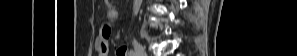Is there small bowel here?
Listing matches in <instances>:
<instances>
[{"label": "small bowel", "mask_w": 297, "mask_h": 56, "mask_svg": "<svg viewBox=\"0 0 297 56\" xmlns=\"http://www.w3.org/2000/svg\"><path fill=\"white\" fill-rule=\"evenodd\" d=\"M117 17V11L115 8H111L108 12L109 23L105 25L99 33V36L96 41V50L100 56H107L109 52L108 39L111 32V22ZM118 56H125L126 49L124 47H120L117 50Z\"/></svg>", "instance_id": "1"}]
</instances>
